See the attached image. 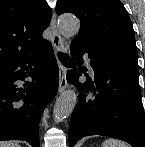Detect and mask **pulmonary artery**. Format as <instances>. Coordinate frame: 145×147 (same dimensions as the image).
Returning <instances> with one entry per match:
<instances>
[{
    "instance_id": "e3ab8cb5",
    "label": "pulmonary artery",
    "mask_w": 145,
    "mask_h": 147,
    "mask_svg": "<svg viewBox=\"0 0 145 147\" xmlns=\"http://www.w3.org/2000/svg\"><path fill=\"white\" fill-rule=\"evenodd\" d=\"M83 59H84L85 63L87 64V66H88L90 69H92L91 66H90V59H89V57H88L87 55H85V56L83 57Z\"/></svg>"
}]
</instances>
